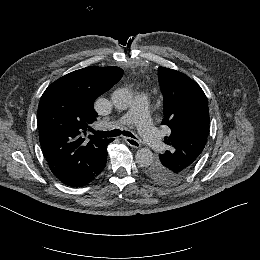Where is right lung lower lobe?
I'll list each match as a JSON object with an SVG mask.
<instances>
[{"instance_id":"obj_1","label":"right lung lower lobe","mask_w":260,"mask_h":260,"mask_svg":"<svg viewBox=\"0 0 260 260\" xmlns=\"http://www.w3.org/2000/svg\"><path fill=\"white\" fill-rule=\"evenodd\" d=\"M107 159V158H106ZM106 164V160L103 161L101 165H98L92 172L85 176L76 177L70 181L63 182L68 186L71 187H83L85 185H88L90 182H92L104 169Z\"/></svg>"}]
</instances>
